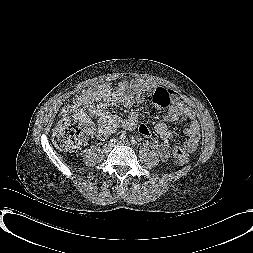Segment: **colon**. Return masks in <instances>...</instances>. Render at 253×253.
<instances>
[{"instance_id":"1","label":"colon","mask_w":253,"mask_h":253,"mask_svg":"<svg viewBox=\"0 0 253 253\" xmlns=\"http://www.w3.org/2000/svg\"><path fill=\"white\" fill-rule=\"evenodd\" d=\"M138 94V92H134ZM89 132L85 116L72 109L67 108L53 133L54 144L63 150L77 148ZM173 155L180 163L188 161V152L181 146L173 147Z\"/></svg>"}]
</instances>
